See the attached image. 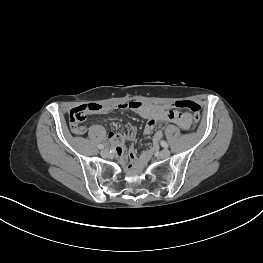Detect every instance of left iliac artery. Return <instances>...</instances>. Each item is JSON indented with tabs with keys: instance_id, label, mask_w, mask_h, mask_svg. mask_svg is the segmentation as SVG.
<instances>
[{
	"instance_id": "obj_1",
	"label": "left iliac artery",
	"mask_w": 263,
	"mask_h": 263,
	"mask_svg": "<svg viewBox=\"0 0 263 263\" xmlns=\"http://www.w3.org/2000/svg\"><path fill=\"white\" fill-rule=\"evenodd\" d=\"M161 146L164 147V148H168V144L165 141L161 142Z\"/></svg>"
}]
</instances>
